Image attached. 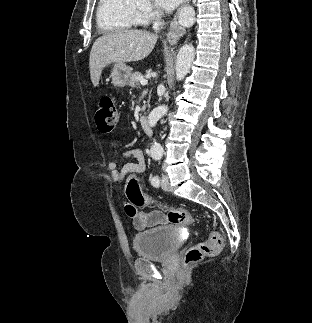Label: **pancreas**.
I'll return each instance as SVG.
<instances>
[{
	"label": "pancreas",
	"instance_id": "1",
	"mask_svg": "<svg viewBox=\"0 0 312 323\" xmlns=\"http://www.w3.org/2000/svg\"><path fill=\"white\" fill-rule=\"evenodd\" d=\"M141 80H145L144 76H142L140 72H134V74H131L130 76L129 86H131V88H138V86H140L139 82H141ZM145 110L146 108L145 106H143L142 112H145Z\"/></svg>",
	"mask_w": 312,
	"mask_h": 323
}]
</instances>
